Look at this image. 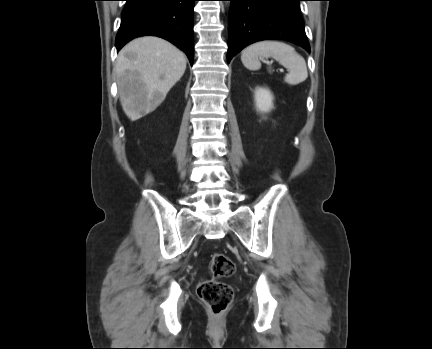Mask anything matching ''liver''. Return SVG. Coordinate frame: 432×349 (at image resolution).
Listing matches in <instances>:
<instances>
[{"label": "liver", "instance_id": "liver-1", "mask_svg": "<svg viewBox=\"0 0 432 349\" xmlns=\"http://www.w3.org/2000/svg\"><path fill=\"white\" fill-rule=\"evenodd\" d=\"M115 70L122 108L134 121L153 112L164 101L183 76L186 57L161 38L141 37L121 49Z\"/></svg>", "mask_w": 432, "mask_h": 349}]
</instances>
